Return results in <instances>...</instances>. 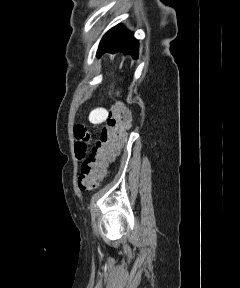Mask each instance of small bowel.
<instances>
[{"mask_svg":"<svg viewBox=\"0 0 240 288\" xmlns=\"http://www.w3.org/2000/svg\"><path fill=\"white\" fill-rule=\"evenodd\" d=\"M108 110L104 107H97L90 111L88 121L91 125H101L108 118ZM76 139L75 153L79 159H83L88 146L93 142V137L84 125H76L74 128Z\"/></svg>","mask_w":240,"mask_h":288,"instance_id":"1","label":"small bowel"}]
</instances>
